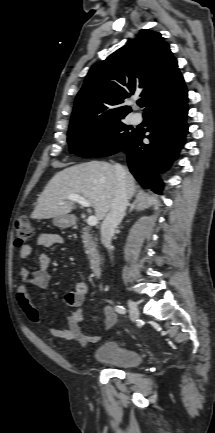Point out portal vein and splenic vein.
Wrapping results in <instances>:
<instances>
[{
  "instance_id": "obj_1",
  "label": "portal vein and splenic vein",
  "mask_w": 215,
  "mask_h": 433,
  "mask_svg": "<svg viewBox=\"0 0 215 433\" xmlns=\"http://www.w3.org/2000/svg\"><path fill=\"white\" fill-rule=\"evenodd\" d=\"M66 199L72 202H78L84 207H90V202L80 195L72 194L69 195ZM87 224L89 226H96L98 224V218L96 216H89L87 219Z\"/></svg>"
}]
</instances>
